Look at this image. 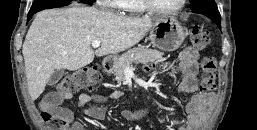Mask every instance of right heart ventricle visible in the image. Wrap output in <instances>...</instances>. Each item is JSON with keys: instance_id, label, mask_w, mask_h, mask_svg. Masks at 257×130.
I'll list each match as a JSON object with an SVG mask.
<instances>
[{"instance_id": "1", "label": "right heart ventricle", "mask_w": 257, "mask_h": 130, "mask_svg": "<svg viewBox=\"0 0 257 130\" xmlns=\"http://www.w3.org/2000/svg\"><path fill=\"white\" fill-rule=\"evenodd\" d=\"M117 8L125 14L139 15L146 12L140 0H117Z\"/></svg>"}]
</instances>
